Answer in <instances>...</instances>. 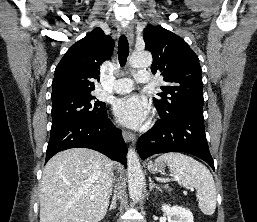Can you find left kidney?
I'll return each mask as SVG.
<instances>
[{
    "instance_id": "left-kidney-1",
    "label": "left kidney",
    "mask_w": 257,
    "mask_h": 222,
    "mask_svg": "<svg viewBox=\"0 0 257 222\" xmlns=\"http://www.w3.org/2000/svg\"><path fill=\"white\" fill-rule=\"evenodd\" d=\"M162 211L166 213L168 222H194L193 214L189 209L164 204L162 205Z\"/></svg>"
}]
</instances>
